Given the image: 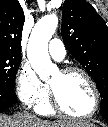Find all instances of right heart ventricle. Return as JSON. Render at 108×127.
Returning <instances> with one entry per match:
<instances>
[{"mask_svg":"<svg viewBox=\"0 0 108 127\" xmlns=\"http://www.w3.org/2000/svg\"><path fill=\"white\" fill-rule=\"evenodd\" d=\"M35 109L41 115L55 114V110L52 108L50 103L49 92H47V95L45 96V98L36 105Z\"/></svg>","mask_w":108,"mask_h":127,"instance_id":"1","label":"right heart ventricle"}]
</instances>
